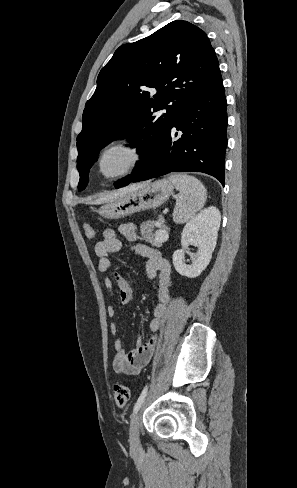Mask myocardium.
I'll return each mask as SVG.
<instances>
[{"instance_id": "f54148a6", "label": "myocardium", "mask_w": 297, "mask_h": 488, "mask_svg": "<svg viewBox=\"0 0 297 488\" xmlns=\"http://www.w3.org/2000/svg\"><path fill=\"white\" fill-rule=\"evenodd\" d=\"M121 147L122 148L123 147L129 148L130 150L133 151L134 157H133L132 162L130 163V165L126 169H124L123 171H121L115 175H112V176L105 175V173L103 172V168H102V162H103L105 155L109 151H111L112 149L121 148ZM146 157H147L146 147L141 140L136 139V138H122V139L116 140V141L108 144L107 146H105L102 149V151L100 152L99 157H98V163H97L98 164V171L104 179L109 180V181H115L117 179L128 176V175L132 174L133 172H135L137 169H139L143 165V163L145 162Z\"/></svg>"}]
</instances>
